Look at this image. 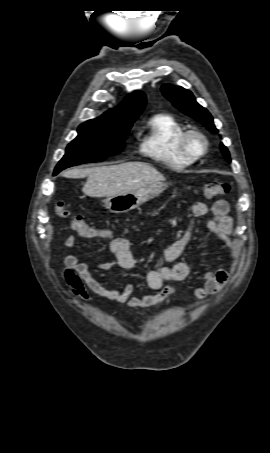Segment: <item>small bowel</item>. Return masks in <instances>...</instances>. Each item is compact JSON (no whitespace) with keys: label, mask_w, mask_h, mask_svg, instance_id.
<instances>
[{"label":"small bowel","mask_w":270,"mask_h":453,"mask_svg":"<svg viewBox=\"0 0 270 453\" xmlns=\"http://www.w3.org/2000/svg\"><path fill=\"white\" fill-rule=\"evenodd\" d=\"M191 213L193 219L203 217L208 213V207L203 202H196L192 205ZM211 213L212 218L207 222V228L226 247L229 259L234 261L238 256V244L230 237L233 219L229 214L228 203L225 200H216L211 206ZM193 232V221H191L179 238L159 251L160 259L165 263H173V265L149 269L145 272L146 285L150 289L158 291L157 293L133 295L136 290L133 283H128L123 288L107 287L93 275V269L108 272L115 265L123 269H132L135 266L131 242L125 237H116L111 240L110 250L114 255L113 261L90 264L75 255H67L63 277L69 286L70 293L82 302L88 301V291H91L99 297L115 301L118 304H126L129 308L157 306L175 294L174 287L168 283L185 281L193 274L192 263L178 262L190 244ZM64 245L68 248H75L78 241L73 235H68L64 239ZM216 259L219 262L217 269L201 273L200 282L193 290L192 302H203L207 295L219 293L227 284L229 272L222 262L224 257L219 253Z\"/></svg>","instance_id":"1"}]
</instances>
